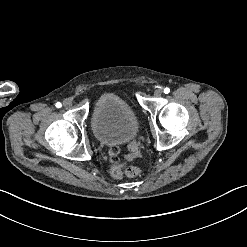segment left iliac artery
Listing matches in <instances>:
<instances>
[{
	"instance_id": "obj_1",
	"label": "left iliac artery",
	"mask_w": 247,
	"mask_h": 247,
	"mask_svg": "<svg viewBox=\"0 0 247 247\" xmlns=\"http://www.w3.org/2000/svg\"><path fill=\"white\" fill-rule=\"evenodd\" d=\"M170 92V89L168 88V87H166L165 89H164V93L165 94H168Z\"/></svg>"
}]
</instances>
